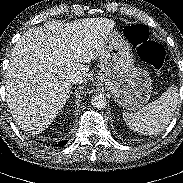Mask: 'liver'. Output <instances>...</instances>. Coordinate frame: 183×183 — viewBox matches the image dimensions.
Here are the masks:
<instances>
[{"instance_id":"6515ba94","label":"liver","mask_w":183,"mask_h":183,"mask_svg":"<svg viewBox=\"0 0 183 183\" xmlns=\"http://www.w3.org/2000/svg\"><path fill=\"white\" fill-rule=\"evenodd\" d=\"M108 18H84L70 23L49 21L33 27L16 42L6 71V102L24 131L42 132L64 107L71 83L78 73L83 82L84 65L96 59L113 30Z\"/></svg>"}]
</instances>
